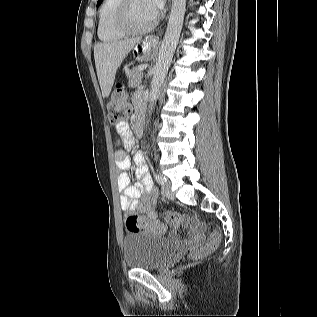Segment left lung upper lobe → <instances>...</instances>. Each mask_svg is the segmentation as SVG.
<instances>
[{
    "mask_svg": "<svg viewBox=\"0 0 317 317\" xmlns=\"http://www.w3.org/2000/svg\"><path fill=\"white\" fill-rule=\"evenodd\" d=\"M103 0H98L97 6H99L102 3Z\"/></svg>",
    "mask_w": 317,
    "mask_h": 317,
    "instance_id": "left-lung-upper-lobe-1",
    "label": "left lung upper lobe"
}]
</instances>
